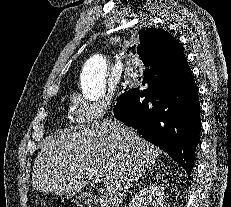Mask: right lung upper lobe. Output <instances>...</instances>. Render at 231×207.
<instances>
[{"label":"right lung upper lobe","mask_w":231,"mask_h":207,"mask_svg":"<svg viewBox=\"0 0 231 207\" xmlns=\"http://www.w3.org/2000/svg\"><path fill=\"white\" fill-rule=\"evenodd\" d=\"M137 53L148 68L157 67L160 71H165L182 70L188 66L182 44L160 28H151L147 36L140 38Z\"/></svg>","instance_id":"obj_1"}]
</instances>
